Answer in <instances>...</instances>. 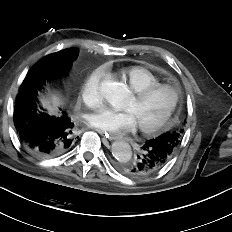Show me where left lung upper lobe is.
I'll return each instance as SVG.
<instances>
[{
    "instance_id": "left-lung-upper-lobe-1",
    "label": "left lung upper lobe",
    "mask_w": 232,
    "mask_h": 232,
    "mask_svg": "<svg viewBox=\"0 0 232 232\" xmlns=\"http://www.w3.org/2000/svg\"><path fill=\"white\" fill-rule=\"evenodd\" d=\"M181 134L182 130H171L166 133H163L162 135L158 136L153 140L162 143L171 150L172 154H174L178 146L180 145Z\"/></svg>"
}]
</instances>
